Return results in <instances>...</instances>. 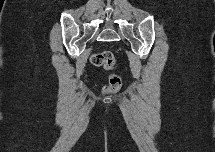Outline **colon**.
Instances as JSON below:
<instances>
[{
    "instance_id": "1",
    "label": "colon",
    "mask_w": 215,
    "mask_h": 152,
    "mask_svg": "<svg viewBox=\"0 0 215 152\" xmlns=\"http://www.w3.org/2000/svg\"><path fill=\"white\" fill-rule=\"evenodd\" d=\"M91 62L97 67L105 70H112L116 66L114 54L111 51H102L92 54ZM122 87V78L120 75L111 74L108 83L103 87L102 92L106 95L118 92Z\"/></svg>"
}]
</instances>
